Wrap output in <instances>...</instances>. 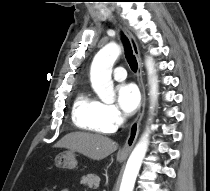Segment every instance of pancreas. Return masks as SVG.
<instances>
[{"mask_svg": "<svg viewBox=\"0 0 210 191\" xmlns=\"http://www.w3.org/2000/svg\"><path fill=\"white\" fill-rule=\"evenodd\" d=\"M100 178L94 174H88L83 176L81 179V184L87 186L90 189H97L99 187Z\"/></svg>", "mask_w": 210, "mask_h": 191, "instance_id": "obj_1", "label": "pancreas"}]
</instances>
